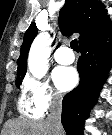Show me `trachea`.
<instances>
[{"instance_id": "trachea-1", "label": "trachea", "mask_w": 112, "mask_h": 135, "mask_svg": "<svg viewBox=\"0 0 112 135\" xmlns=\"http://www.w3.org/2000/svg\"><path fill=\"white\" fill-rule=\"evenodd\" d=\"M70 46L74 51L79 53V47H78L77 39L72 40L71 43H70Z\"/></svg>"}]
</instances>
